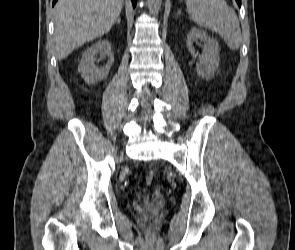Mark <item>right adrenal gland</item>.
<instances>
[{"label":"right adrenal gland","mask_w":295,"mask_h":250,"mask_svg":"<svg viewBox=\"0 0 295 250\" xmlns=\"http://www.w3.org/2000/svg\"><path fill=\"white\" fill-rule=\"evenodd\" d=\"M116 22H117V23H120V22H121V18L118 17L117 20H116Z\"/></svg>","instance_id":"obj_1"}]
</instances>
